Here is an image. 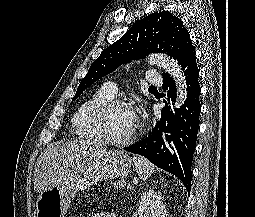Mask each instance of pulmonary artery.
I'll return each instance as SVG.
<instances>
[{
  "instance_id": "obj_1",
  "label": "pulmonary artery",
  "mask_w": 255,
  "mask_h": 217,
  "mask_svg": "<svg viewBox=\"0 0 255 217\" xmlns=\"http://www.w3.org/2000/svg\"><path fill=\"white\" fill-rule=\"evenodd\" d=\"M145 79L150 85H160L162 83V78L155 73H146ZM104 87L112 96L117 93V85L113 81L107 82Z\"/></svg>"
}]
</instances>
